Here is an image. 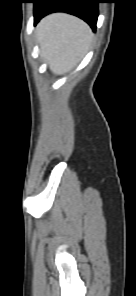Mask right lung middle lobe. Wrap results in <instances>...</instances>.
Masks as SVG:
<instances>
[{"mask_svg": "<svg viewBox=\"0 0 136 296\" xmlns=\"http://www.w3.org/2000/svg\"><path fill=\"white\" fill-rule=\"evenodd\" d=\"M39 0H33V3L36 4ZM35 6V5H34Z\"/></svg>", "mask_w": 136, "mask_h": 296, "instance_id": "1", "label": "right lung middle lobe"}]
</instances>
